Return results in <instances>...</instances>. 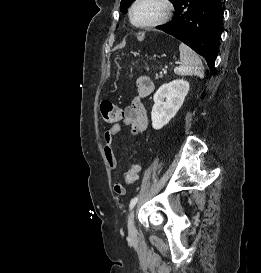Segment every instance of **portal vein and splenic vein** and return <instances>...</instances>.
Listing matches in <instances>:
<instances>
[{"label": "portal vein and splenic vein", "mask_w": 261, "mask_h": 273, "mask_svg": "<svg viewBox=\"0 0 261 273\" xmlns=\"http://www.w3.org/2000/svg\"><path fill=\"white\" fill-rule=\"evenodd\" d=\"M162 73L166 74V73H167V71H166L165 69H163V72H162Z\"/></svg>", "instance_id": "portal-vein-and-splenic-vein-1"}]
</instances>
